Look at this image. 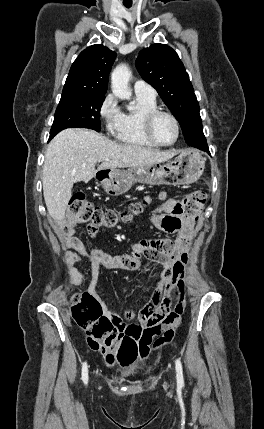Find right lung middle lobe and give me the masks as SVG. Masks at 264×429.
<instances>
[{"instance_id": "1", "label": "right lung middle lobe", "mask_w": 264, "mask_h": 429, "mask_svg": "<svg viewBox=\"0 0 264 429\" xmlns=\"http://www.w3.org/2000/svg\"><path fill=\"white\" fill-rule=\"evenodd\" d=\"M104 95L62 94L56 109L50 139L69 127H83L100 131V108Z\"/></svg>"}]
</instances>
